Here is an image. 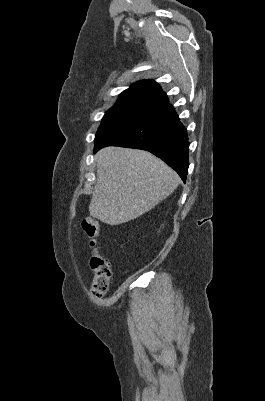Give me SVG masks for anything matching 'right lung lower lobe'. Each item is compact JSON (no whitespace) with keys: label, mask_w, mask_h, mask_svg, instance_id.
Instances as JSON below:
<instances>
[{"label":"right lung lower lobe","mask_w":265,"mask_h":401,"mask_svg":"<svg viewBox=\"0 0 265 401\" xmlns=\"http://www.w3.org/2000/svg\"><path fill=\"white\" fill-rule=\"evenodd\" d=\"M188 140L187 131L170 104L96 145L94 152L110 145L146 150L165 161L186 182Z\"/></svg>","instance_id":"98d812e1"}]
</instances>
